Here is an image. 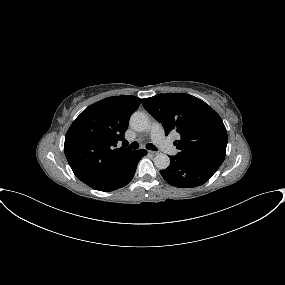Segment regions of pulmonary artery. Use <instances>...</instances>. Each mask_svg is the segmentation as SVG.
Segmentation results:
<instances>
[{
    "instance_id": "pulmonary-artery-1",
    "label": "pulmonary artery",
    "mask_w": 285,
    "mask_h": 285,
    "mask_svg": "<svg viewBox=\"0 0 285 285\" xmlns=\"http://www.w3.org/2000/svg\"><path fill=\"white\" fill-rule=\"evenodd\" d=\"M149 135L153 142L165 153L171 155H175L177 153V149L173 143L164 136L162 127L159 123H152L149 129Z\"/></svg>"
}]
</instances>
